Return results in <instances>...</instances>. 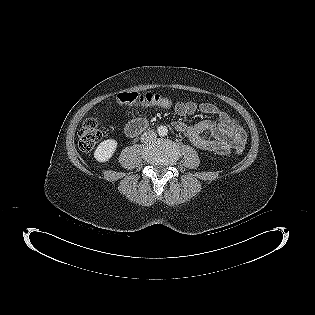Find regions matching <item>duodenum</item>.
Returning a JSON list of instances; mask_svg holds the SVG:
<instances>
[{
	"label": "duodenum",
	"instance_id": "obj_1",
	"mask_svg": "<svg viewBox=\"0 0 315 315\" xmlns=\"http://www.w3.org/2000/svg\"><path fill=\"white\" fill-rule=\"evenodd\" d=\"M146 127H147V122L145 120L138 119V120H134L128 123L125 128V132L128 136H135L138 133L145 130Z\"/></svg>",
	"mask_w": 315,
	"mask_h": 315
}]
</instances>
